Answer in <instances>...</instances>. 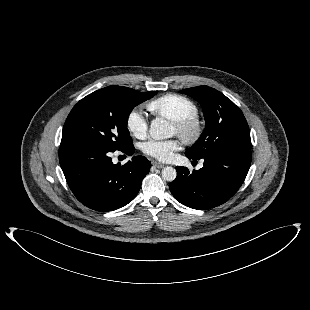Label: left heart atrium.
I'll return each instance as SVG.
<instances>
[{
    "mask_svg": "<svg viewBox=\"0 0 310 310\" xmlns=\"http://www.w3.org/2000/svg\"><path fill=\"white\" fill-rule=\"evenodd\" d=\"M180 149V142L177 139L156 140L145 142L142 151L160 161L168 162L173 159L175 152Z\"/></svg>",
    "mask_w": 310,
    "mask_h": 310,
    "instance_id": "1",
    "label": "left heart atrium"
}]
</instances>
